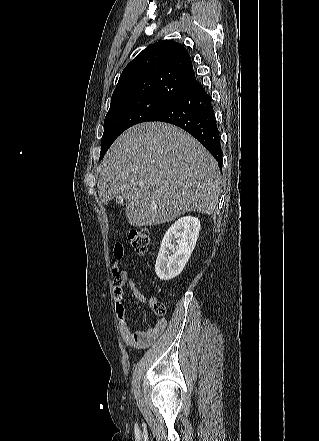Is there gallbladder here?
Here are the masks:
<instances>
[{
    "mask_svg": "<svg viewBox=\"0 0 319 441\" xmlns=\"http://www.w3.org/2000/svg\"><path fill=\"white\" fill-rule=\"evenodd\" d=\"M116 202H117V204H119V205H123V199L122 198H116Z\"/></svg>",
    "mask_w": 319,
    "mask_h": 441,
    "instance_id": "bac80fb5",
    "label": "gallbladder"
}]
</instances>
